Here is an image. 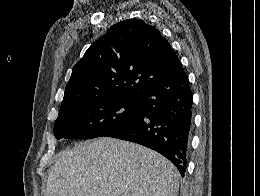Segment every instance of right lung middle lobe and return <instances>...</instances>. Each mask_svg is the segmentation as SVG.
I'll list each match as a JSON object with an SVG mask.
<instances>
[{"label":"right lung middle lobe","instance_id":"obj_1","mask_svg":"<svg viewBox=\"0 0 260 196\" xmlns=\"http://www.w3.org/2000/svg\"><path fill=\"white\" fill-rule=\"evenodd\" d=\"M138 98L104 94L60 109L55 121L56 139H93L126 128L142 119Z\"/></svg>","mask_w":260,"mask_h":196}]
</instances>
